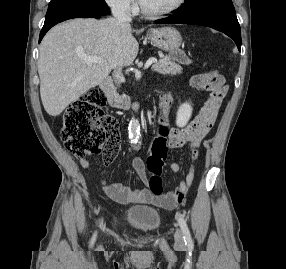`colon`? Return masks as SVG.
Returning <instances> with one entry per match:
<instances>
[{"mask_svg": "<svg viewBox=\"0 0 286 269\" xmlns=\"http://www.w3.org/2000/svg\"><path fill=\"white\" fill-rule=\"evenodd\" d=\"M172 62H181V66H192L194 57H190L189 49H167ZM190 88L205 91L201 110H222L227 100V83L217 72L200 73L192 78ZM105 98L99 89H91L75 100L63 113L61 138L66 149L74 157L85 159L90 155L102 153L105 165H111L121 147V135L118 121L104 113ZM154 122L158 126H169L171 117L160 111ZM144 150L147 158L146 168L149 173V188L154 195L163 192L162 170L169 157L170 144L160 137H151ZM184 197V195H183Z\"/></svg>", "mask_w": 286, "mask_h": 269, "instance_id": "1", "label": "colon"}]
</instances>
